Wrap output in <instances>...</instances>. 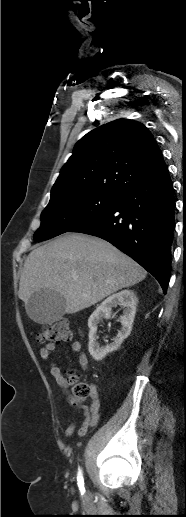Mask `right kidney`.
<instances>
[{
  "label": "right kidney",
  "mask_w": 186,
  "mask_h": 517,
  "mask_svg": "<svg viewBox=\"0 0 186 517\" xmlns=\"http://www.w3.org/2000/svg\"><path fill=\"white\" fill-rule=\"evenodd\" d=\"M138 299L132 290H123L111 295L105 299L91 314L88 319L89 344L88 350L90 355L96 360H102L108 353L117 350L124 339H126L132 330L133 321L136 313ZM121 306L123 308V315L120 316L122 325L114 341L106 346H100L97 339V327L103 319L111 317L112 308Z\"/></svg>",
  "instance_id": "1"
}]
</instances>
